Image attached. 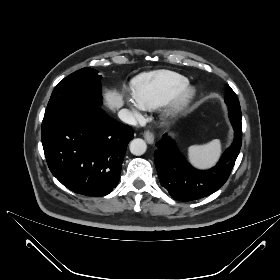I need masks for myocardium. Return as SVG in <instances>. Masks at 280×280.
Here are the masks:
<instances>
[{
	"label": "myocardium",
	"instance_id": "f54148a6",
	"mask_svg": "<svg viewBox=\"0 0 280 280\" xmlns=\"http://www.w3.org/2000/svg\"><path fill=\"white\" fill-rule=\"evenodd\" d=\"M196 96L194 86L186 85L162 105L161 118L165 122L181 116Z\"/></svg>",
	"mask_w": 280,
	"mask_h": 280
}]
</instances>
